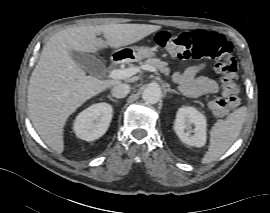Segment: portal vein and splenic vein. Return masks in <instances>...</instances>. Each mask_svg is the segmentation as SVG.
Returning a JSON list of instances; mask_svg holds the SVG:
<instances>
[{"label":"portal vein and splenic vein","instance_id":"portal-vein-and-splenic-vein-1","mask_svg":"<svg viewBox=\"0 0 270 213\" xmlns=\"http://www.w3.org/2000/svg\"><path fill=\"white\" fill-rule=\"evenodd\" d=\"M141 69L147 70L150 72H157V69L151 65H143ZM138 72H140V68L138 67H131L127 69H116V70H112L109 73V77L112 79H118V80L126 79L137 74Z\"/></svg>","mask_w":270,"mask_h":213}]
</instances>
